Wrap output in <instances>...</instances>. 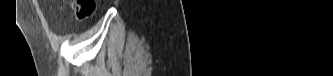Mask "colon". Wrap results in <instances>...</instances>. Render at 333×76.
<instances>
[{"label":"colon","instance_id":"5ec220e1","mask_svg":"<svg viewBox=\"0 0 333 76\" xmlns=\"http://www.w3.org/2000/svg\"><path fill=\"white\" fill-rule=\"evenodd\" d=\"M75 15L78 19L84 20L90 17L96 10L95 0H75L72 2Z\"/></svg>","mask_w":333,"mask_h":76}]
</instances>
